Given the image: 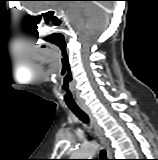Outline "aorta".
Masks as SVG:
<instances>
[{
    "label": "aorta",
    "instance_id": "762f6f07",
    "mask_svg": "<svg viewBox=\"0 0 158 160\" xmlns=\"http://www.w3.org/2000/svg\"><path fill=\"white\" fill-rule=\"evenodd\" d=\"M97 145L95 143H86L81 145L72 154V159H91L95 154Z\"/></svg>",
    "mask_w": 158,
    "mask_h": 160
}]
</instances>
